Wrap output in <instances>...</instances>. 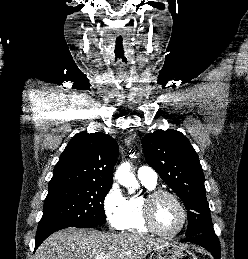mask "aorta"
<instances>
[{
    "instance_id": "1",
    "label": "aorta",
    "mask_w": 248,
    "mask_h": 259,
    "mask_svg": "<svg viewBox=\"0 0 248 259\" xmlns=\"http://www.w3.org/2000/svg\"><path fill=\"white\" fill-rule=\"evenodd\" d=\"M115 178L121 185L128 188L129 191H135L139 188V184L135 176L131 173L129 162H124L117 168Z\"/></svg>"
}]
</instances>
